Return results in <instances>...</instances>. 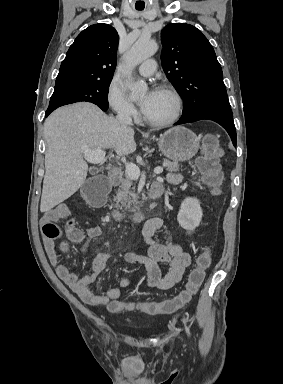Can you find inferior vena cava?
<instances>
[{
    "mask_svg": "<svg viewBox=\"0 0 283 384\" xmlns=\"http://www.w3.org/2000/svg\"><path fill=\"white\" fill-rule=\"evenodd\" d=\"M131 108L130 106H120L118 108V116L117 120L122 124V126H132V118H131Z\"/></svg>",
    "mask_w": 283,
    "mask_h": 384,
    "instance_id": "obj_1",
    "label": "inferior vena cava"
}]
</instances>
